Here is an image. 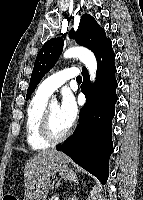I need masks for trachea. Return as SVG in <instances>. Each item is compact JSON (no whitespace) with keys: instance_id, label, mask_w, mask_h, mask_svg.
Returning a JSON list of instances; mask_svg holds the SVG:
<instances>
[{"instance_id":"obj_1","label":"trachea","mask_w":143,"mask_h":200,"mask_svg":"<svg viewBox=\"0 0 143 200\" xmlns=\"http://www.w3.org/2000/svg\"><path fill=\"white\" fill-rule=\"evenodd\" d=\"M76 81L79 82V83L82 82V77H81V76H78V77L76 78Z\"/></svg>"}]
</instances>
